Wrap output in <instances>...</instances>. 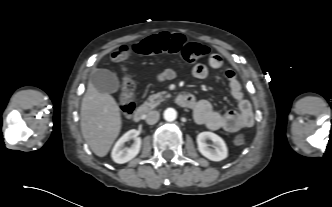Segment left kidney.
I'll list each match as a JSON object with an SVG mask.
<instances>
[{
	"mask_svg": "<svg viewBox=\"0 0 332 207\" xmlns=\"http://www.w3.org/2000/svg\"><path fill=\"white\" fill-rule=\"evenodd\" d=\"M210 139L214 143V149L210 148L206 140ZM199 152L211 161H221L228 156L227 146L224 140L212 132H201L197 136Z\"/></svg>",
	"mask_w": 332,
	"mask_h": 207,
	"instance_id": "5707ae66",
	"label": "left kidney"
}]
</instances>
